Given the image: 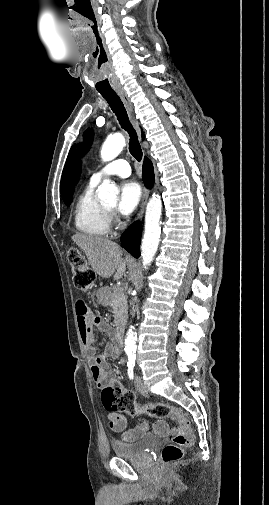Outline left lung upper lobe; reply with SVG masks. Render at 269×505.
<instances>
[{"mask_svg":"<svg viewBox=\"0 0 269 505\" xmlns=\"http://www.w3.org/2000/svg\"><path fill=\"white\" fill-rule=\"evenodd\" d=\"M91 141H92V131L91 129H88L85 133H84V145H83V149L84 150H88L89 149V146L91 144Z\"/></svg>","mask_w":269,"mask_h":505,"instance_id":"obj_1","label":"left lung upper lobe"}]
</instances>
